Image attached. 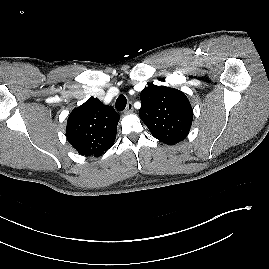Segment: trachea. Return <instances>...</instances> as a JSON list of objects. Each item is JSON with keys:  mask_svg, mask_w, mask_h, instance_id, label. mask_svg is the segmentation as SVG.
Segmentation results:
<instances>
[{"mask_svg": "<svg viewBox=\"0 0 269 269\" xmlns=\"http://www.w3.org/2000/svg\"><path fill=\"white\" fill-rule=\"evenodd\" d=\"M126 104H127V99L124 95L121 94L116 100V104H115L116 109L118 111H123L126 107Z\"/></svg>", "mask_w": 269, "mask_h": 269, "instance_id": "1", "label": "trachea"}]
</instances>
